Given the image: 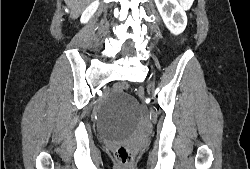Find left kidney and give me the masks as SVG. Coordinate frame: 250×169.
Wrapping results in <instances>:
<instances>
[{"mask_svg": "<svg viewBox=\"0 0 250 169\" xmlns=\"http://www.w3.org/2000/svg\"><path fill=\"white\" fill-rule=\"evenodd\" d=\"M155 4L170 32L180 34L187 24L186 12L178 0H155Z\"/></svg>", "mask_w": 250, "mask_h": 169, "instance_id": "5707ae66", "label": "left kidney"}]
</instances>
